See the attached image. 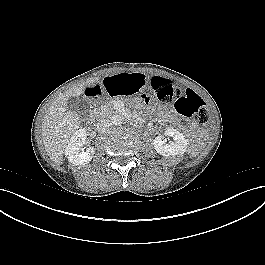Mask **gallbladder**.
<instances>
[{
	"mask_svg": "<svg viewBox=\"0 0 265 265\" xmlns=\"http://www.w3.org/2000/svg\"><path fill=\"white\" fill-rule=\"evenodd\" d=\"M67 107L76 112L81 120H87L90 114L88 100L83 97H70L67 101Z\"/></svg>",
	"mask_w": 265,
	"mask_h": 265,
	"instance_id": "bac80fb5",
	"label": "gallbladder"
}]
</instances>
